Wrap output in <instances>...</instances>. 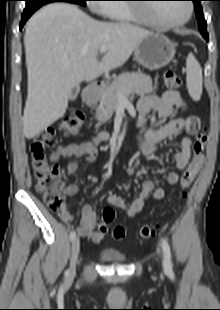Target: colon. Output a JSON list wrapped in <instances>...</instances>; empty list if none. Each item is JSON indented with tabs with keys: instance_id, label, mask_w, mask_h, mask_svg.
Segmentation results:
<instances>
[{
	"instance_id": "5ec220e1",
	"label": "colon",
	"mask_w": 220,
	"mask_h": 310,
	"mask_svg": "<svg viewBox=\"0 0 220 310\" xmlns=\"http://www.w3.org/2000/svg\"><path fill=\"white\" fill-rule=\"evenodd\" d=\"M164 82L167 86L178 88L181 85V78L172 70L164 73ZM84 121V115L80 111H73L67 115L57 127L49 128L36 135L31 144L32 166L35 174V187L41 194L46 206L52 211H59L65 203L68 185L61 177L58 166L52 164L47 157V150L58 140L59 135H75L79 132ZM208 137L205 131L196 133L195 142L192 147L193 156L180 179V188L187 190L199 171L201 170L207 145ZM102 219L105 224L113 222L115 212L112 208L106 207L102 212ZM157 229L156 225H143L139 229L138 236L141 239L152 237ZM125 230L117 226L113 230L115 239H122Z\"/></svg>"
}]
</instances>
